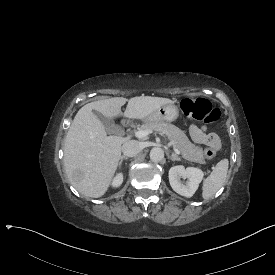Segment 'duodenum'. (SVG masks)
I'll use <instances>...</instances> for the list:
<instances>
[{"label":"duodenum","instance_id":"1","mask_svg":"<svg viewBox=\"0 0 275 275\" xmlns=\"http://www.w3.org/2000/svg\"><path fill=\"white\" fill-rule=\"evenodd\" d=\"M123 124H127V121H126V120H124V121H123Z\"/></svg>","mask_w":275,"mask_h":275}]
</instances>
